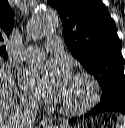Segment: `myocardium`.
<instances>
[{
	"instance_id": "obj_1",
	"label": "myocardium",
	"mask_w": 125,
	"mask_h": 128,
	"mask_svg": "<svg viewBox=\"0 0 125 128\" xmlns=\"http://www.w3.org/2000/svg\"><path fill=\"white\" fill-rule=\"evenodd\" d=\"M73 79L77 82H81L86 85L88 94L83 101L76 105H61V111L67 115H77L84 113L94 107L100 98V86L97 80L86 72H78L73 76Z\"/></svg>"
}]
</instances>
